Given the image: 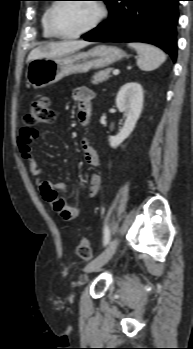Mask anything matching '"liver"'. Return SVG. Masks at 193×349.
<instances>
[{
  "mask_svg": "<svg viewBox=\"0 0 193 349\" xmlns=\"http://www.w3.org/2000/svg\"><path fill=\"white\" fill-rule=\"evenodd\" d=\"M90 43L87 41H62L55 43H45L33 49L27 61L31 62L38 58H56L63 57L69 54H73L80 49L88 46Z\"/></svg>",
  "mask_w": 193,
  "mask_h": 349,
  "instance_id": "1",
  "label": "liver"
}]
</instances>
